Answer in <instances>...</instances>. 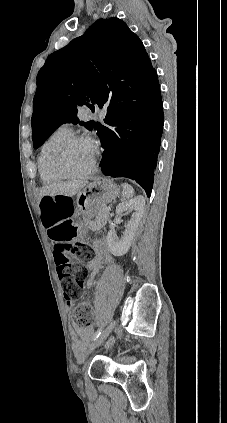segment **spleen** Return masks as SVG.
<instances>
[{
    "mask_svg": "<svg viewBox=\"0 0 227 423\" xmlns=\"http://www.w3.org/2000/svg\"><path fill=\"white\" fill-rule=\"evenodd\" d=\"M133 194H134L133 188H131V186H128V184H123L124 198H132Z\"/></svg>",
    "mask_w": 227,
    "mask_h": 423,
    "instance_id": "spleen-1",
    "label": "spleen"
}]
</instances>
